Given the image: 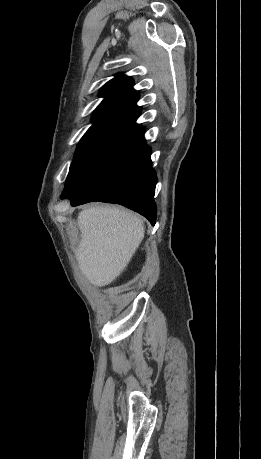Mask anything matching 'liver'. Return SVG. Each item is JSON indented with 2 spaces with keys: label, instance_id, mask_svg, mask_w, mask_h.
<instances>
[{
  "label": "liver",
  "instance_id": "1",
  "mask_svg": "<svg viewBox=\"0 0 261 459\" xmlns=\"http://www.w3.org/2000/svg\"><path fill=\"white\" fill-rule=\"evenodd\" d=\"M81 240L74 250L84 276L94 286L114 281L127 267L144 238V221L118 207L84 209L77 217Z\"/></svg>",
  "mask_w": 261,
  "mask_h": 459
}]
</instances>
